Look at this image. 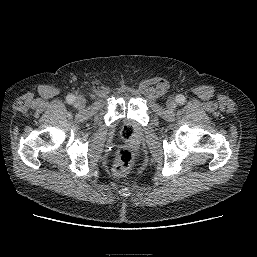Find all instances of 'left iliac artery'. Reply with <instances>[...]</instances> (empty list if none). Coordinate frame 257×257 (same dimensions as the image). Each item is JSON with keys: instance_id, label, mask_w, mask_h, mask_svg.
I'll use <instances>...</instances> for the list:
<instances>
[{"instance_id": "obj_1", "label": "left iliac artery", "mask_w": 257, "mask_h": 257, "mask_svg": "<svg viewBox=\"0 0 257 257\" xmlns=\"http://www.w3.org/2000/svg\"><path fill=\"white\" fill-rule=\"evenodd\" d=\"M176 101L179 103V104H184L185 103V101H186V99H185V97H184V95H178L177 97H176Z\"/></svg>"}]
</instances>
